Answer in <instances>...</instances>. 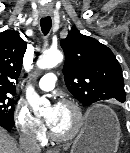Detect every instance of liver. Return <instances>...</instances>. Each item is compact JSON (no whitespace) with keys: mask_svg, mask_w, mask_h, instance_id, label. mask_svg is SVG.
Masks as SVG:
<instances>
[{"mask_svg":"<svg viewBox=\"0 0 130 153\" xmlns=\"http://www.w3.org/2000/svg\"><path fill=\"white\" fill-rule=\"evenodd\" d=\"M0 153H22L15 140L0 127Z\"/></svg>","mask_w":130,"mask_h":153,"instance_id":"1","label":"liver"}]
</instances>
